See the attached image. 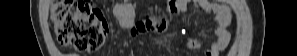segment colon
Here are the masks:
<instances>
[{
    "label": "colon",
    "instance_id": "1",
    "mask_svg": "<svg viewBox=\"0 0 297 56\" xmlns=\"http://www.w3.org/2000/svg\"><path fill=\"white\" fill-rule=\"evenodd\" d=\"M58 42L78 52L92 53L105 43L109 28L102 12L88 0H60L52 6Z\"/></svg>",
    "mask_w": 297,
    "mask_h": 56
}]
</instances>
